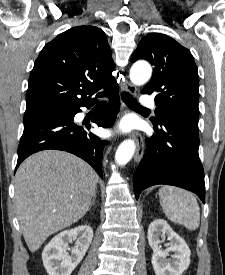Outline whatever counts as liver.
I'll use <instances>...</instances> for the list:
<instances>
[{
	"mask_svg": "<svg viewBox=\"0 0 225 275\" xmlns=\"http://www.w3.org/2000/svg\"><path fill=\"white\" fill-rule=\"evenodd\" d=\"M97 183L98 175L89 164L64 151H41L19 166L15 204L31 252L86 214Z\"/></svg>",
	"mask_w": 225,
	"mask_h": 275,
	"instance_id": "obj_1",
	"label": "liver"
}]
</instances>
